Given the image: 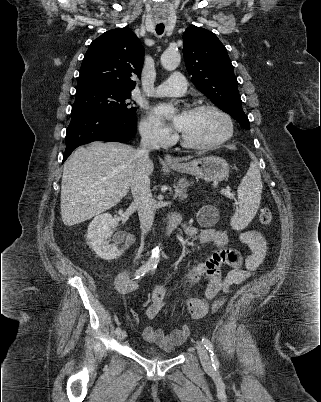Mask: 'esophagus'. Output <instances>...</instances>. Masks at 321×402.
<instances>
[{"label": "esophagus", "instance_id": "obj_1", "mask_svg": "<svg viewBox=\"0 0 321 402\" xmlns=\"http://www.w3.org/2000/svg\"><path fill=\"white\" fill-rule=\"evenodd\" d=\"M164 161L166 164H178L179 163V161L176 158H174L168 154H166L164 156Z\"/></svg>", "mask_w": 321, "mask_h": 402}]
</instances>
